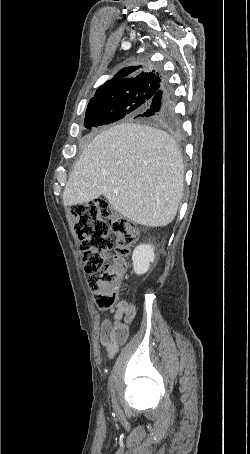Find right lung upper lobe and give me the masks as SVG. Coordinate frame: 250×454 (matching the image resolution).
<instances>
[{"instance_id": "obj_1", "label": "right lung upper lobe", "mask_w": 250, "mask_h": 454, "mask_svg": "<svg viewBox=\"0 0 250 454\" xmlns=\"http://www.w3.org/2000/svg\"><path fill=\"white\" fill-rule=\"evenodd\" d=\"M147 84L162 88L165 81L159 72L149 70L147 66L125 67L115 74L111 80L100 86L89 103L103 98H120L133 88Z\"/></svg>"}]
</instances>
